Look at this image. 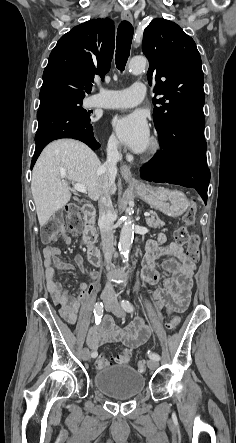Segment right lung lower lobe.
Wrapping results in <instances>:
<instances>
[{
  "mask_svg": "<svg viewBox=\"0 0 236 443\" xmlns=\"http://www.w3.org/2000/svg\"><path fill=\"white\" fill-rule=\"evenodd\" d=\"M37 119L36 148L31 168L34 166L43 148L49 142L56 139L74 138L86 143L93 150L100 147V144L93 136L90 118L80 116L72 107L59 99H41Z\"/></svg>",
  "mask_w": 236,
  "mask_h": 443,
  "instance_id": "98d812e1",
  "label": "right lung lower lobe"
}]
</instances>
